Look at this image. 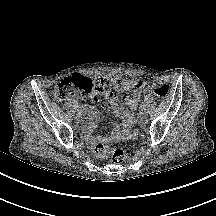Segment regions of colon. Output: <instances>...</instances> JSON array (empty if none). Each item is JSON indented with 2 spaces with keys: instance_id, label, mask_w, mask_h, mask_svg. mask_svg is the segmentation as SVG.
Returning <instances> with one entry per match:
<instances>
[{
  "instance_id": "1",
  "label": "colon",
  "mask_w": 216,
  "mask_h": 216,
  "mask_svg": "<svg viewBox=\"0 0 216 216\" xmlns=\"http://www.w3.org/2000/svg\"><path fill=\"white\" fill-rule=\"evenodd\" d=\"M107 82L103 78H98L95 82L91 79L81 76L72 75L63 79L57 86L54 97L58 101L65 100L75 96H92L105 91ZM146 88L147 93H153L159 98H166L169 95L170 88L168 85L160 82H153L149 86L142 85ZM96 152L100 156H111L114 163L120 164L127 158V152L123 149H110L104 144L96 147Z\"/></svg>"
}]
</instances>
